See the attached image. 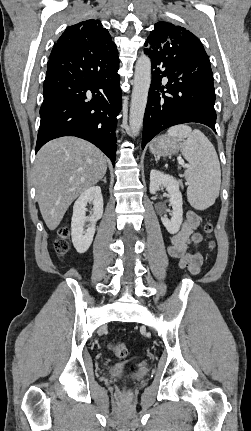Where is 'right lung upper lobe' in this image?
I'll list each match as a JSON object with an SVG mask.
<instances>
[{
    "label": "right lung upper lobe",
    "instance_id": "obj_1",
    "mask_svg": "<svg viewBox=\"0 0 251 431\" xmlns=\"http://www.w3.org/2000/svg\"><path fill=\"white\" fill-rule=\"evenodd\" d=\"M53 49L67 54L96 55L104 63L118 60L116 45L99 20H86L68 27Z\"/></svg>",
    "mask_w": 251,
    "mask_h": 431
}]
</instances>
